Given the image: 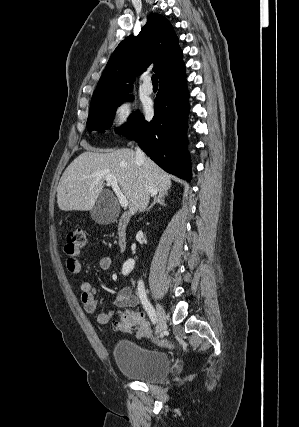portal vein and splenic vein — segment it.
<instances>
[{"label":"portal vein and splenic vein","mask_w":299,"mask_h":427,"mask_svg":"<svg viewBox=\"0 0 299 427\" xmlns=\"http://www.w3.org/2000/svg\"><path fill=\"white\" fill-rule=\"evenodd\" d=\"M103 175H105V180L107 181V184L112 187L114 193L116 194L120 205L122 207L126 208L128 206V200L126 199L125 195L120 190L118 183H117V179L110 174L103 173Z\"/></svg>","instance_id":"1"}]
</instances>
